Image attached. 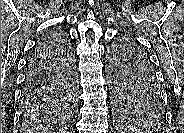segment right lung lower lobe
<instances>
[{
    "mask_svg": "<svg viewBox=\"0 0 184 133\" xmlns=\"http://www.w3.org/2000/svg\"><path fill=\"white\" fill-rule=\"evenodd\" d=\"M64 46L55 37L43 36L37 42L27 62L23 101H47L61 81Z\"/></svg>",
    "mask_w": 184,
    "mask_h": 133,
    "instance_id": "right-lung-lower-lobe-1",
    "label": "right lung lower lobe"
}]
</instances>
